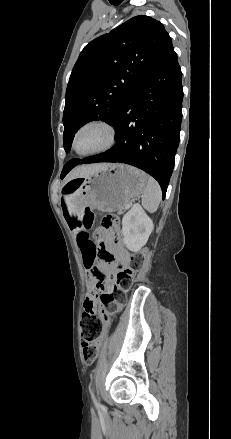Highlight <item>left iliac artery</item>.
Here are the masks:
<instances>
[{
	"instance_id": "1",
	"label": "left iliac artery",
	"mask_w": 231,
	"mask_h": 439,
	"mask_svg": "<svg viewBox=\"0 0 231 439\" xmlns=\"http://www.w3.org/2000/svg\"><path fill=\"white\" fill-rule=\"evenodd\" d=\"M90 392H91V397H92V400H93L95 406H96L97 408H100V407H101V404L97 401L93 389H91Z\"/></svg>"
}]
</instances>
